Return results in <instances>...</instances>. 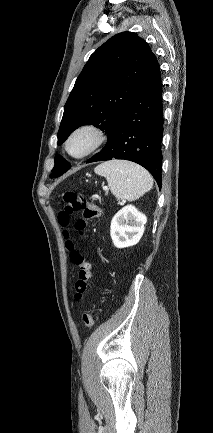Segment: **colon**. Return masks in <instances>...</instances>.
Returning <instances> with one entry per match:
<instances>
[{
	"label": "colon",
	"instance_id": "colon-1",
	"mask_svg": "<svg viewBox=\"0 0 213 433\" xmlns=\"http://www.w3.org/2000/svg\"><path fill=\"white\" fill-rule=\"evenodd\" d=\"M63 203V209L58 215L60 225L66 227L70 222V216L74 212L80 211L82 218L76 221L75 230L81 237H84L90 222L100 216V208L94 202L90 201L84 194L76 193L74 191H66L64 193ZM65 237L67 239L66 246L70 251V259L79 269L78 277L74 285V298L75 300H80L91 277V267L90 264L86 262L84 255L75 249V245L71 240H69L67 232H65ZM83 322L85 326L91 327L93 324L92 314L85 313L83 315Z\"/></svg>",
	"mask_w": 213,
	"mask_h": 433
}]
</instances>
